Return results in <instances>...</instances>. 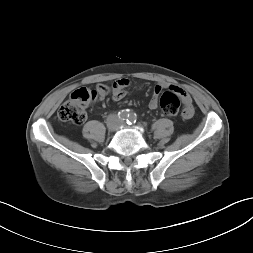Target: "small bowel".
Wrapping results in <instances>:
<instances>
[{
	"mask_svg": "<svg viewBox=\"0 0 253 253\" xmlns=\"http://www.w3.org/2000/svg\"><path fill=\"white\" fill-rule=\"evenodd\" d=\"M129 84H130V81L127 78H121V79L114 81V83L111 87L112 98L115 101L122 100L125 96L124 89ZM97 88L100 91H104L105 95H107L110 91L109 88L105 85H98ZM164 89H168V90H171V91L177 93L179 95V97L181 98V101L184 106L180 109V117L183 120H190L195 116L196 111H195L194 107L192 106V99H191L190 95L181 87H178V86H175V85H172L169 83H165V82H160L155 85V87L153 89L152 96H151L149 103H148V107L150 109L154 110V109L158 108L159 96Z\"/></svg>",
	"mask_w": 253,
	"mask_h": 253,
	"instance_id": "1",
	"label": "small bowel"
}]
</instances>
